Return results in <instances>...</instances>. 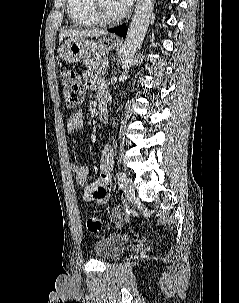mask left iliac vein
I'll return each mask as SVG.
<instances>
[{
  "mask_svg": "<svg viewBox=\"0 0 239 303\" xmlns=\"http://www.w3.org/2000/svg\"><path fill=\"white\" fill-rule=\"evenodd\" d=\"M124 193L128 200L135 199V189L132 181L128 178H126L124 183Z\"/></svg>",
  "mask_w": 239,
  "mask_h": 303,
  "instance_id": "obj_1",
  "label": "left iliac vein"
}]
</instances>
